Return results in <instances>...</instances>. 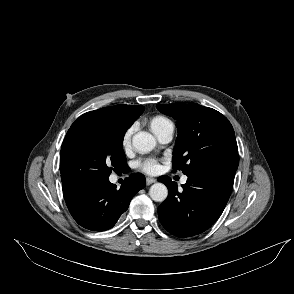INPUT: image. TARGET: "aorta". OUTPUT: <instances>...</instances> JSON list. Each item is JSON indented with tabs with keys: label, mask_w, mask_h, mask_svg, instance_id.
I'll list each match as a JSON object with an SVG mask.
<instances>
[{
	"label": "aorta",
	"mask_w": 294,
	"mask_h": 294,
	"mask_svg": "<svg viewBox=\"0 0 294 294\" xmlns=\"http://www.w3.org/2000/svg\"><path fill=\"white\" fill-rule=\"evenodd\" d=\"M132 144L139 153H148L156 145L155 138L147 132H138L132 138ZM149 195L156 202H163L168 196V189L163 183H155L150 187Z\"/></svg>",
	"instance_id": "obj_1"
}]
</instances>
